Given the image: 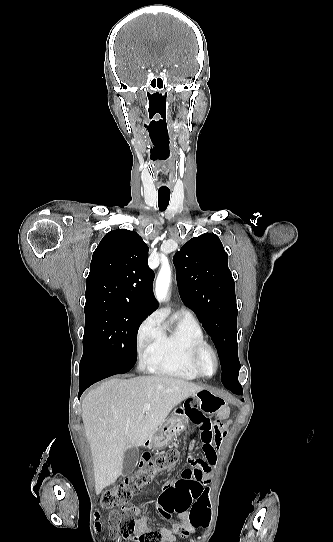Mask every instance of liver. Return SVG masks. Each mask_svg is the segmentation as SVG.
<instances>
[{
	"mask_svg": "<svg viewBox=\"0 0 333 542\" xmlns=\"http://www.w3.org/2000/svg\"><path fill=\"white\" fill-rule=\"evenodd\" d=\"M206 390L189 380L154 374L131 380H108L82 400V420L89 442L95 492L114 484L123 470L126 450L144 446L180 402ZM149 404V410H144Z\"/></svg>",
	"mask_w": 333,
	"mask_h": 542,
	"instance_id": "liver-1",
	"label": "liver"
}]
</instances>
